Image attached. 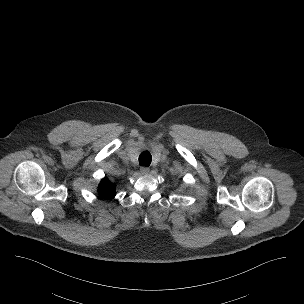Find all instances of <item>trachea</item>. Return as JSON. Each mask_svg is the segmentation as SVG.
<instances>
[{"label":"trachea","instance_id":"trachea-1","mask_svg":"<svg viewBox=\"0 0 304 304\" xmlns=\"http://www.w3.org/2000/svg\"><path fill=\"white\" fill-rule=\"evenodd\" d=\"M151 161H152V156H151L150 152L143 151L139 155V164L140 165L148 167L150 165Z\"/></svg>","mask_w":304,"mask_h":304}]
</instances>
